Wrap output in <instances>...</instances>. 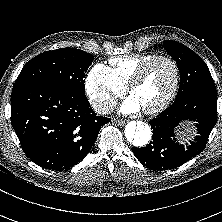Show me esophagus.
I'll return each instance as SVG.
<instances>
[{
  "label": "esophagus",
  "instance_id": "1",
  "mask_svg": "<svg viewBox=\"0 0 222 222\" xmlns=\"http://www.w3.org/2000/svg\"><path fill=\"white\" fill-rule=\"evenodd\" d=\"M115 122L120 126H123L125 124L124 120H115Z\"/></svg>",
  "mask_w": 222,
  "mask_h": 222
}]
</instances>
